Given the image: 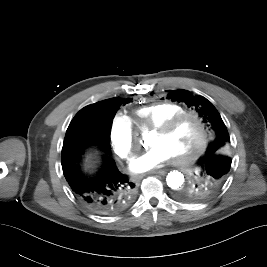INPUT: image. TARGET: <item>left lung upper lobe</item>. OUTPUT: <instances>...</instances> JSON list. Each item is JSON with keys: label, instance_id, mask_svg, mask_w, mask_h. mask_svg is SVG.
<instances>
[{"label": "left lung upper lobe", "instance_id": "5c2ea615", "mask_svg": "<svg viewBox=\"0 0 267 267\" xmlns=\"http://www.w3.org/2000/svg\"><path fill=\"white\" fill-rule=\"evenodd\" d=\"M168 97L172 101L183 102L193 107L214 133V140L209 143L206 153H224L230 157V137L227 128L213 104L205 97H194L188 90H168ZM231 159V158H230Z\"/></svg>", "mask_w": 267, "mask_h": 267}]
</instances>
